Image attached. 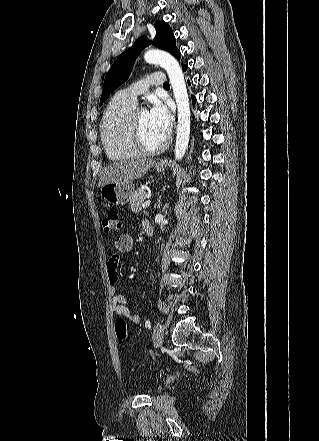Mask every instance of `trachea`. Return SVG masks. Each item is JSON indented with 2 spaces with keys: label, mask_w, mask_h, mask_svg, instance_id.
Here are the masks:
<instances>
[{
  "label": "trachea",
  "mask_w": 319,
  "mask_h": 441,
  "mask_svg": "<svg viewBox=\"0 0 319 441\" xmlns=\"http://www.w3.org/2000/svg\"><path fill=\"white\" fill-rule=\"evenodd\" d=\"M163 87H164V88H168V87H170V85H169L168 82H165L164 85H163Z\"/></svg>",
  "instance_id": "trachea-1"
}]
</instances>
